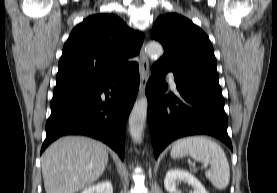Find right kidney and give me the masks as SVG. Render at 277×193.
I'll use <instances>...</instances> for the list:
<instances>
[{
  "instance_id": "right-kidney-1",
  "label": "right kidney",
  "mask_w": 277,
  "mask_h": 193,
  "mask_svg": "<svg viewBox=\"0 0 277 193\" xmlns=\"http://www.w3.org/2000/svg\"><path fill=\"white\" fill-rule=\"evenodd\" d=\"M81 193H113V188L111 182L105 181L97 185L90 186Z\"/></svg>"
}]
</instances>
